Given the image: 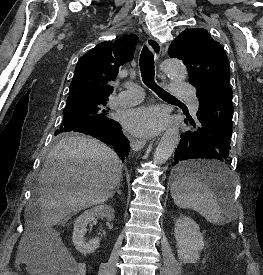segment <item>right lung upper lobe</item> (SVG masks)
<instances>
[{
    "label": "right lung upper lobe",
    "instance_id": "obj_1",
    "mask_svg": "<svg viewBox=\"0 0 263 275\" xmlns=\"http://www.w3.org/2000/svg\"><path fill=\"white\" fill-rule=\"evenodd\" d=\"M137 41V36L131 34L99 43L85 53L76 65L69 97L95 95L107 98L113 91L108 82L116 78L120 66L133 59Z\"/></svg>",
    "mask_w": 263,
    "mask_h": 275
}]
</instances>
